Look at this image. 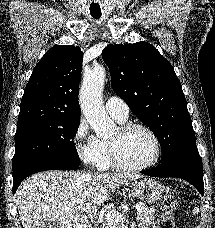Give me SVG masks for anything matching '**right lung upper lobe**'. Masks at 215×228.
Here are the masks:
<instances>
[{
	"label": "right lung upper lobe",
	"mask_w": 215,
	"mask_h": 228,
	"mask_svg": "<svg viewBox=\"0 0 215 228\" xmlns=\"http://www.w3.org/2000/svg\"><path fill=\"white\" fill-rule=\"evenodd\" d=\"M83 52L72 45L49 49L35 66L24 90L17 126L80 120L78 90Z\"/></svg>",
	"instance_id": "1"
}]
</instances>
